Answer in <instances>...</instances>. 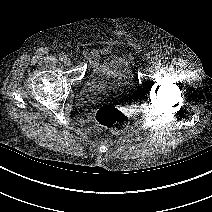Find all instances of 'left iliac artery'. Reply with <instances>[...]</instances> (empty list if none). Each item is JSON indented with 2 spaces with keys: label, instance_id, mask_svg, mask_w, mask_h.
<instances>
[{
  "label": "left iliac artery",
  "instance_id": "left-iliac-artery-1",
  "mask_svg": "<svg viewBox=\"0 0 212 212\" xmlns=\"http://www.w3.org/2000/svg\"><path fill=\"white\" fill-rule=\"evenodd\" d=\"M160 66H161V62H160V61H157V62L155 63V68H160Z\"/></svg>",
  "mask_w": 212,
  "mask_h": 212
}]
</instances>
